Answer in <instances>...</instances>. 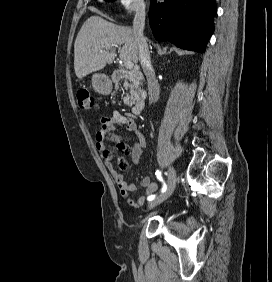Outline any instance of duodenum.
<instances>
[{
    "instance_id": "1",
    "label": "duodenum",
    "mask_w": 272,
    "mask_h": 282,
    "mask_svg": "<svg viewBox=\"0 0 272 282\" xmlns=\"http://www.w3.org/2000/svg\"><path fill=\"white\" fill-rule=\"evenodd\" d=\"M113 81L119 82L121 79H132L138 83L144 80V76L139 69H132L125 72H116L112 76ZM146 93L141 91L138 93L136 100L130 108V115H139L145 106Z\"/></svg>"
}]
</instances>
